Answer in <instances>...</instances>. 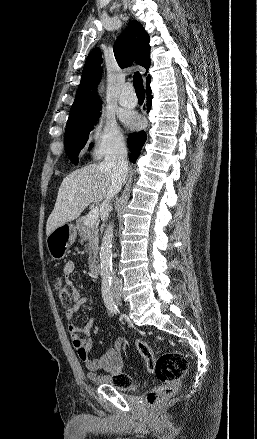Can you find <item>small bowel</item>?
<instances>
[{
  "instance_id": "obj_1",
  "label": "small bowel",
  "mask_w": 257,
  "mask_h": 439,
  "mask_svg": "<svg viewBox=\"0 0 257 439\" xmlns=\"http://www.w3.org/2000/svg\"><path fill=\"white\" fill-rule=\"evenodd\" d=\"M74 270L75 265L72 261L65 263L63 267V275L65 277L66 284L71 286L74 290V304L65 312L66 319L69 322V335L78 358L84 363L87 377L94 382L107 383L113 378V376L121 373L123 368L124 340L122 338H118L114 345L100 358H90L93 343L89 336L95 321L94 319L89 320L82 328L74 322L77 312L88 301L87 298L80 296L78 290L74 287L70 279V276ZM100 371L103 372L102 375L99 374Z\"/></svg>"
}]
</instances>
